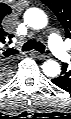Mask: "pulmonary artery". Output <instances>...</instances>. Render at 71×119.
I'll use <instances>...</instances> for the list:
<instances>
[{
	"label": "pulmonary artery",
	"instance_id": "pulmonary-artery-1",
	"mask_svg": "<svg viewBox=\"0 0 71 119\" xmlns=\"http://www.w3.org/2000/svg\"><path fill=\"white\" fill-rule=\"evenodd\" d=\"M49 46L53 53L60 59H66L67 53L66 50L60 40V38L56 34H51L49 37Z\"/></svg>",
	"mask_w": 71,
	"mask_h": 119
}]
</instances>
